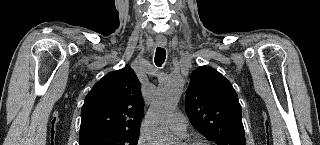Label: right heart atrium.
<instances>
[{
    "instance_id": "obj_1",
    "label": "right heart atrium",
    "mask_w": 320,
    "mask_h": 145,
    "mask_svg": "<svg viewBox=\"0 0 320 145\" xmlns=\"http://www.w3.org/2000/svg\"><path fill=\"white\" fill-rule=\"evenodd\" d=\"M137 145H150V142L144 135H140V137L137 140Z\"/></svg>"
}]
</instances>
